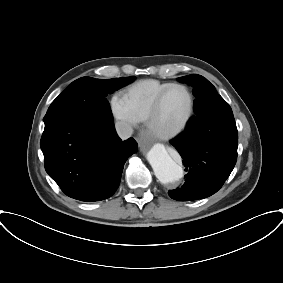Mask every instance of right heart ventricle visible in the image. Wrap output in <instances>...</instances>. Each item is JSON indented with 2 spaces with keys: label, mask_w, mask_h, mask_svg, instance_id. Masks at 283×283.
<instances>
[{
  "label": "right heart ventricle",
  "mask_w": 283,
  "mask_h": 283,
  "mask_svg": "<svg viewBox=\"0 0 283 283\" xmlns=\"http://www.w3.org/2000/svg\"><path fill=\"white\" fill-rule=\"evenodd\" d=\"M172 82L145 79L134 83L122 92L130 113L137 122H145L157 95Z\"/></svg>",
  "instance_id": "1"
}]
</instances>
